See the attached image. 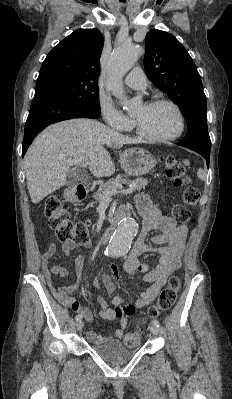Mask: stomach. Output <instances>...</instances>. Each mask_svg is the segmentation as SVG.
I'll list each match as a JSON object with an SVG mask.
<instances>
[{
    "label": "stomach",
    "instance_id": "stomach-1",
    "mask_svg": "<svg viewBox=\"0 0 232 399\" xmlns=\"http://www.w3.org/2000/svg\"><path fill=\"white\" fill-rule=\"evenodd\" d=\"M119 164L129 176H142L155 168L156 160L150 152L143 148H129L120 154Z\"/></svg>",
    "mask_w": 232,
    "mask_h": 399
}]
</instances>
